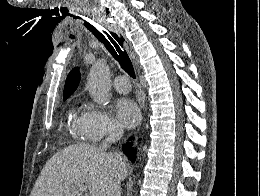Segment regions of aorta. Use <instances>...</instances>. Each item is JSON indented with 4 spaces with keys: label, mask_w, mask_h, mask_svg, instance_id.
I'll return each mask as SVG.
<instances>
[{
    "label": "aorta",
    "mask_w": 260,
    "mask_h": 196,
    "mask_svg": "<svg viewBox=\"0 0 260 196\" xmlns=\"http://www.w3.org/2000/svg\"><path fill=\"white\" fill-rule=\"evenodd\" d=\"M88 86L94 102L107 104L110 101V69L104 59H98L92 65L88 76Z\"/></svg>",
    "instance_id": "1"
}]
</instances>
